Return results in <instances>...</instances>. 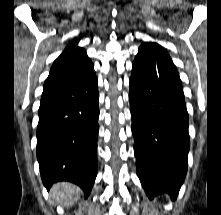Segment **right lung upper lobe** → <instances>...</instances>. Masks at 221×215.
I'll use <instances>...</instances> for the list:
<instances>
[{
    "label": "right lung upper lobe",
    "instance_id": "obj_1",
    "mask_svg": "<svg viewBox=\"0 0 221 215\" xmlns=\"http://www.w3.org/2000/svg\"><path fill=\"white\" fill-rule=\"evenodd\" d=\"M78 41L69 44L54 61L45 81L43 93L62 87L94 70L86 51L77 46Z\"/></svg>",
    "mask_w": 221,
    "mask_h": 215
}]
</instances>
